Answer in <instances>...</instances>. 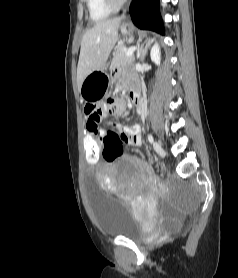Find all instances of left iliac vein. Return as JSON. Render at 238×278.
Listing matches in <instances>:
<instances>
[{
    "mask_svg": "<svg viewBox=\"0 0 238 278\" xmlns=\"http://www.w3.org/2000/svg\"><path fill=\"white\" fill-rule=\"evenodd\" d=\"M154 149L158 155L165 156V151L158 142H154Z\"/></svg>",
    "mask_w": 238,
    "mask_h": 278,
    "instance_id": "obj_1",
    "label": "left iliac vein"
}]
</instances>
